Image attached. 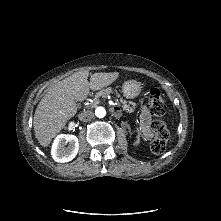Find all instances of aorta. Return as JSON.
Returning a JSON list of instances; mask_svg holds the SVG:
<instances>
[{"label":"aorta","mask_w":221,"mask_h":221,"mask_svg":"<svg viewBox=\"0 0 221 221\" xmlns=\"http://www.w3.org/2000/svg\"><path fill=\"white\" fill-rule=\"evenodd\" d=\"M95 115L98 117V118H103L105 115H106V110L104 107H97L95 109Z\"/></svg>","instance_id":"762f6f07"}]
</instances>
